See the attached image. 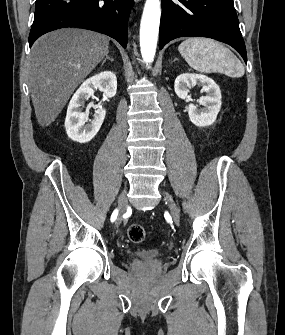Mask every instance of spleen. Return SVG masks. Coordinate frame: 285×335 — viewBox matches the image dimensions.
I'll list each match as a JSON object with an SVG mask.
<instances>
[{
	"label": "spleen",
	"instance_id": "spleen-1",
	"mask_svg": "<svg viewBox=\"0 0 285 335\" xmlns=\"http://www.w3.org/2000/svg\"><path fill=\"white\" fill-rule=\"evenodd\" d=\"M182 58L186 60L190 68L197 72H213V70H225L234 68L240 76L244 74V68L234 54L221 46L219 42L210 38H187L178 46Z\"/></svg>",
	"mask_w": 285,
	"mask_h": 335
}]
</instances>
